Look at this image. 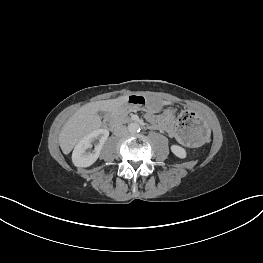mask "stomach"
Here are the masks:
<instances>
[{"mask_svg": "<svg viewBox=\"0 0 263 263\" xmlns=\"http://www.w3.org/2000/svg\"><path fill=\"white\" fill-rule=\"evenodd\" d=\"M161 103L139 95L128 96L125 104L129 109L153 111L161 107ZM162 117L166 122H171L174 130L179 132V141L185 147H194L204 144L210 136L209 128L201 117L184 105L165 107Z\"/></svg>", "mask_w": 263, "mask_h": 263, "instance_id": "obj_1", "label": "stomach"}]
</instances>
